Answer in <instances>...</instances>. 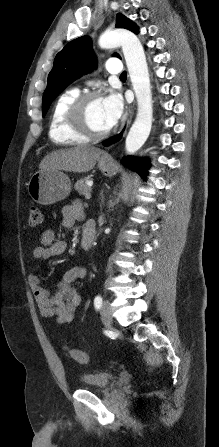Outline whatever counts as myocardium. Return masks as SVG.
<instances>
[{
	"label": "myocardium",
	"instance_id": "myocardium-1",
	"mask_svg": "<svg viewBox=\"0 0 219 447\" xmlns=\"http://www.w3.org/2000/svg\"><path fill=\"white\" fill-rule=\"evenodd\" d=\"M101 99L97 92L78 95L70 104L67 111V121L71 128L88 139H101L111 133V128L96 130L88 120V109L92 102Z\"/></svg>",
	"mask_w": 219,
	"mask_h": 447
}]
</instances>
